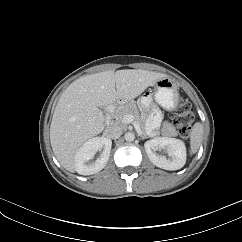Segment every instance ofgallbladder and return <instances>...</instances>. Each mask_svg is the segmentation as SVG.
<instances>
[{
  "mask_svg": "<svg viewBox=\"0 0 242 242\" xmlns=\"http://www.w3.org/2000/svg\"><path fill=\"white\" fill-rule=\"evenodd\" d=\"M100 110H101L102 112H104V111H105V107H100Z\"/></svg>",
  "mask_w": 242,
  "mask_h": 242,
  "instance_id": "gallbladder-1",
  "label": "gallbladder"
}]
</instances>
